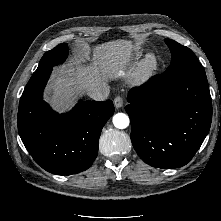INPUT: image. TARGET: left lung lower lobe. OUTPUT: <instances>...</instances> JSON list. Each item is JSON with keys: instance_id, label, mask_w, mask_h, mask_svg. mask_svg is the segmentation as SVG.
I'll return each mask as SVG.
<instances>
[{"instance_id": "1", "label": "left lung lower lobe", "mask_w": 221, "mask_h": 221, "mask_svg": "<svg viewBox=\"0 0 221 221\" xmlns=\"http://www.w3.org/2000/svg\"><path fill=\"white\" fill-rule=\"evenodd\" d=\"M127 99L132 144L153 167L184 166L210 130L212 100L198 59L178 63L152 77L131 89Z\"/></svg>"}]
</instances>
